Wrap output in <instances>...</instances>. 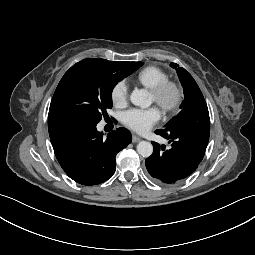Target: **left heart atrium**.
I'll use <instances>...</instances> for the list:
<instances>
[{"mask_svg": "<svg viewBox=\"0 0 255 255\" xmlns=\"http://www.w3.org/2000/svg\"><path fill=\"white\" fill-rule=\"evenodd\" d=\"M161 118L157 107L147 109L133 108L123 113V124L133 131L144 133L151 129Z\"/></svg>", "mask_w": 255, "mask_h": 255, "instance_id": "1", "label": "left heart atrium"}]
</instances>
